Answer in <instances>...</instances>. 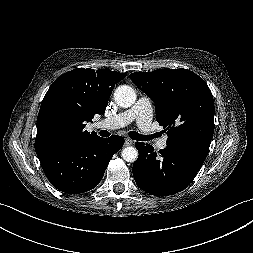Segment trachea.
I'll use <instances>...</instances> for the list:
<instances>
[{"label": "trachea", "mask_w": 253, "mask_h": 253, "mask_svg": "<svg viewBox=\"0 0 253 253\" xmlns=\"http://www.w3.org/2000/svg\"><path fill=\"white\" fill-rule=\"evenodd\" d=\"M100 135L102 137H108L110 135V133L106 130H102L100 131ZM129 137L133 140H139V141H145V140H150L152 139L153 137L152 136H144L142 134H139L138 132H135V131H130L128 133Z\"/></svg>", "instance_id": "1"}]
</instances>
